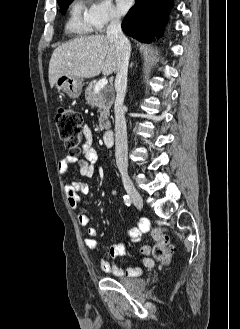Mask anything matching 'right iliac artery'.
Instances as JSON below:
<instances>
[{
  "instance_id": "obj_1",
  "label": "right iliac artery",
  "mask_w": 240,
  "mask_h": 329,
  "mask_svg": "<svg viewBox=\"0 0 240 329\" xmlns=\"http://www.w3.org/2000/svg\"><path fill=\"white\" fill-rule=\"evenodd\" d=\"M123 199H124L125 204H126L127 206H130V204H131L130 197H129L128 195H125V196L123 197Z\"/></svg>"
}]
</instances>
